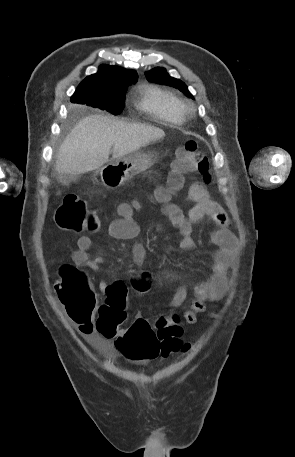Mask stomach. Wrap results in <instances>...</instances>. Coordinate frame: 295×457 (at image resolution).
Returning a JSON list of instances; mask_svg holds the SVG:
<instances>
[{"label": "stomach", "mask_w": 295, "mask_h": 457, "mask_svg": "<svg viewBox=\"0 0 295 457\" xmlns=\"http://www.w3.org/2000/svg\"><path fill=\"white\" fill-rule=\"evenodd\" d=\"M153 154L135 151L122 158L112 160L100 169L102 183L109 189L123 185L134 175L145 171L152 164Z\"/></svg>", "instance_id": "0dacf381"}]
</instances>
